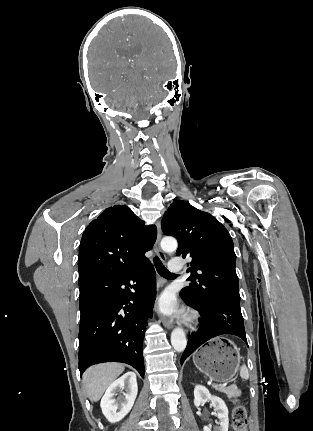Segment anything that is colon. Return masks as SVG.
<instances>
[{
    "label": "colon",
    "mask_w": 313,
    "mask_h": 431,
    "mask_svg": "<svg viewBox=\"0 0 313 431\" xmlns=\"http://www.w3.org/2000/svg\"><path fill=\"white\" fill-rule=\"evenodd\" d=\"M232 427L234 431H246L247 410L243 404L236 403L232 412Z\"/></svg>",
    "instance_id": "5ec220e1"
}]
</instances>
